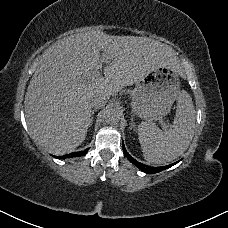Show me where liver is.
<instances>
[{"instance_id": "liver-1", "label": "liver", "mask_w": 228, "mask_h": 228, "mask_svg": "<svg viewBox=\"0 0 228 228\" xmlns=\"http://www.w3.org/2000/svg\"><path fill=\"white\" fill-rule=\"evenodd\" d=\"M107 58L105 77L100 52ZM181 72L172 47L148 37L92 30L58 42L43 55L25 94L27 126L34 142L63 155L85 140L91 122L90 94L115 96L151 70Z\"/></svg>"}]
</instances>
